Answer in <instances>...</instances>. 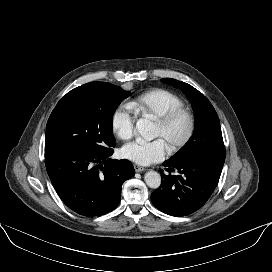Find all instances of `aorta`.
I'll use <instances>...</instances> for the list:
<instances>
[{
    "label": "aorta",
    "instance_id": "762f6f07",
    "mask_svg": "<svg viewBox=\"0 0 272 272\" xmlns=\"http://www.w3.org/2000/svg\"><path fill=\"white\" fill-rule=\"evenodd\" d=\"M136 128L141 137L147 141L153 140L156 137L155 125L148 119H140L137 122ZM144 179L146 184L153 189L158 188L161 184V176L156 171L147 172Z\"/></svg>",
    "mask_w": 272,
    "mask_h": 272
}]
</instances>
